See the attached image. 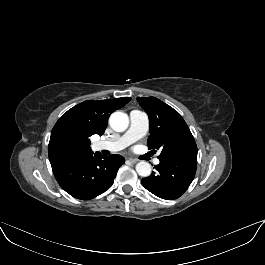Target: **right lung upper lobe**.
<instances>
[{"label":"right lung upper lobe","instance_id":"right-lung-upper-lobe-1","mask_svg":"<svg viewBox=\"0 0 265 265\" xmlns=\"http://www.w3.org/2000/svg\"><path fill=\"white\" fill-rule=\"evenodd\" d=\"M130 100V97L89 100L64 113L51 132L48 155L52 170L92 155L90 136H101L110 114Z\"/></svg>","mask_w":265,"mask_h":265}]
</instances>
